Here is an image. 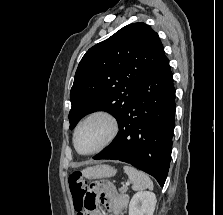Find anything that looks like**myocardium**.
I'll list each match as a JSON object with an SVG mask.
<instances>
[{
	"label": "myocardium",
	"instance_id": "obj_1",
	"mask_svg": "<svg viewBox=\"0 0 223 215\" xmlns=\"http://www.w3.org/2000/svg\"><path fill=\"white\" fill-rule=\"evenodd\" d=\"M92 120L104 121L108 126V135H107L106 139L101 143V145L98 146L96 149H94L90 152H81L78 150V148L76 146L77 133L82 125H84L85 123L92 121ZM118 131H119L118 123L111 113L104 111V110L94 111L91 114L87 115L85 118H83L76 125L75 130L73 132V146H74L76 152L81 156L95 155V154L101 152L102 150H104L105 148L109 147L113 143V141L115 140V138L118 134Z\"/></svg>",
	"mask_w": 223,
	"mask_h": 215
}]
</instances>
